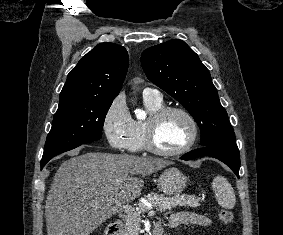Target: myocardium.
Returning a JSON list of instances; mask_svg holds the SVG:
<instances>
[{
    "label": "myocardium",
    "instance_id": "obj_1",
    "mask_svg": "<svg viewBox=\"0 0 283 235\" xmlns=\"http://www.w3.org/2000/svg\"><path fill=\"white\" fill-rule=\"evenodd\" d=\"M170 113H179L183 115L187 119L190 125L191 133L188 141L182 147L172 151H165L159 149L156 146L154 141V134L157 125L160 123V121ZM198 136H199V127L194 116L187 109L183 107L168 106V107H163L158 111H156L155 113L151 114L149 119L146 121L144 128V146L148 152L154 155L162 156V157H175L182 155L188 152L190 149H192L198 140Z\"/></svg>",
    "mask_w": 283,
    "mask_h": 235
}]
</instances>
